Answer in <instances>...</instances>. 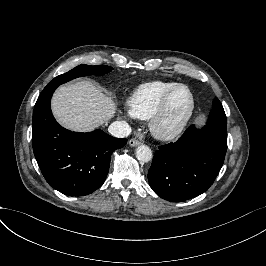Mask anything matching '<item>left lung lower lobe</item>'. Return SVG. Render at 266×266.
I'll list each match as a JSON object with an SVG mask.
<instances>
[{
    "mask_svg": "<svg viewBox=\"0 0 266 266\" xmlns=\"http://www.w3.org/2000/svg\"><path fill=\"white\" fill-rule=\"evenodd\" d=\"M227 150V129L188 127L174 143L159 146L148 171L153 191L170 202L204 193L217 177Z\"/></svg>",
    "mask_w": 266,
    "mask_h": 266,
    "instance_id": "obj_1",
    "label": "left lung lower lobe"
}]
</instances>
